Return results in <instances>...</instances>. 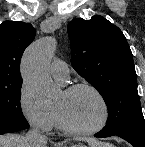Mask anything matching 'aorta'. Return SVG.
Here are the masks:
<instances>
[{
  "label": "aorta",
  "mask_w": 145,
  "mask_h": 147,
  "mask_svg": "<svg viewBox=\"0 0 145 147\" xmlns=\"http://www.w3.org/2000/svg\"><path fill=\"white\" fill-rule=\"evenodd\" d=\"M54 51V38L45 37L31 44L22 58V76L33 91L37 103L48 102L57 93L49 71Z\"/></svg>",
  "instance_id": "1"
}]
</instances>
